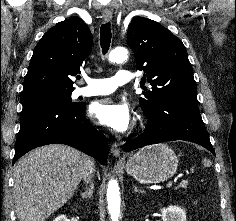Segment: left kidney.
<instances>
[{
	"label": "left kidney",
	"instance_id": "5707ae66",
	"mask_svg": "<svg viewBox=\"0 0 236 221\" xmlns=\"http://www.w3.org/2000/svg\"><path fill=\"white\" fill-rule=\"evenodd\" d=\"M163 221H186V212L178 206H169L161 210Z\"/></svg>",
	"mask_w": 236,
	"mask_h": 221
}]
</instances>
